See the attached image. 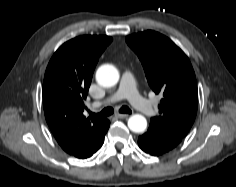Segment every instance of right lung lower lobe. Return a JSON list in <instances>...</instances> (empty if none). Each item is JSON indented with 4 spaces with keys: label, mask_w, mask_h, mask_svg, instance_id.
<instances>
[{
    "label": "right lung lower lobe",
    "mask_w": 236,
    "mask_h": 187,
    "mask_svg": "<svg viewBox=\"0 0 236 187\" xmlns=\"http://www.w3.org/2000/svg\"><path fill=\"white\" fill-rule=\"evenodd\" d=\"M109 125H110V122L108 121V127H107V130H108V128H109ZM103 142H104V141H103ZM101 146H102V145H101ZM101 146H100V147H101Z\"/></svg>",
    "instance_id": "98d812e1"
}]
</instances>
